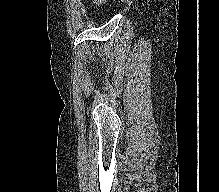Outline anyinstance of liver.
Listing matches in <instances>:
<instances>
[{"label": "liver", "instance_id": "liver-1", "mask_svg": "<svg viewBox=\"0 0 219 192\" xmlns=\"http://www.w3.org/2000/svg\"><path fill=\"white\" fill-rule=\"evenodd\" d=\"M102 0H95L96 3H100Z\"/></svg>", "mask_w": 219, "mask_h": 192}]
</instances>
